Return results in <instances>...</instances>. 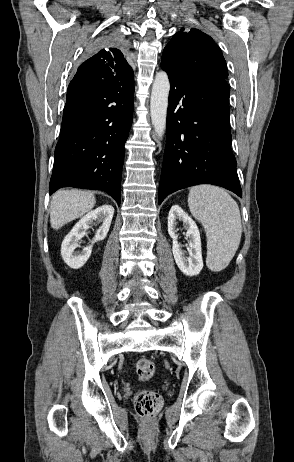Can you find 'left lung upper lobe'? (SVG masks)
Masks as SVG:
<instances>
[{
    "label": "left lung upper lobe",
    "instance_id": "obj_1",
    "mask_svg": "<svg viewBox=\"0 0 294 462\" xmlns=\"http://www.w3.org/2000/svg\"><path fill=\"white\" fill-rule=\"evenodd\" d=\"M161 67L190 79L225 81L228 71L221 49L202 31L177 32L164 48Z\"/></svg>",
    "mask_w": 294,
    "mask_h": 462
}]
</instances>
